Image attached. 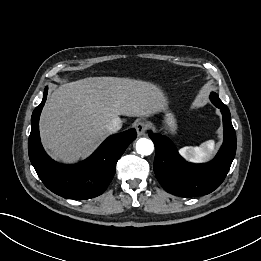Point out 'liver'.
Listing matches in <instances>:
<instances>
[{"instance_id": "1", "label": "liver", "mask_w": 261, "mask_h": 261, "mask_svg": "<svg viewBox=\"0 0 261 261\" xmlns=\"http://www.w3.org/2000/svg\"><path fill=\"white\" fill-rule=\"evenodd\" d=\"M167 101L156 85L129 78L89 77L65 83L49 96L40 118L44 147L54 159L73 163L87 157L110 135L119 116L150 117Z\"/></svg>"}]
</instances>
